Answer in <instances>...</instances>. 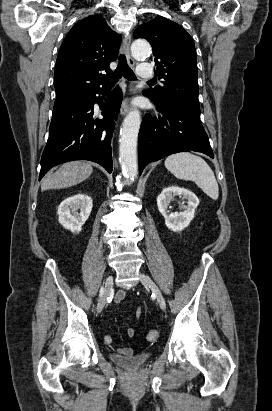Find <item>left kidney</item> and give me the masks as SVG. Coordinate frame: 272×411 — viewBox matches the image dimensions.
Instances as JSON below:
<instances>
[{
  "label": "left kidney",
  "mask_w": 272,
  "mask_h": 411,
  "mask_svg": "<svg viewBox=\"0 0 272 411\" xmlns=\"http://www.w3.org/2000/svg\"><path fill=\"white\" fill-rule=\"evenodd\" d=\"M175 196H181L187 200V205H182V212H173L169 214V204ZM199 205L197 196L185 189L177 186L164 188L157 197V206L159 212L165 217V224L168 229L179 232L184 230L194 218V213Z\"/></svg>",
  "instance_id": "obj_1"
}]
</instances>
